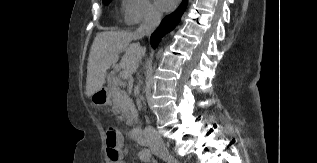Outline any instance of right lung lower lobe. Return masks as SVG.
<instances>
[{
	"instance_id": "1",
	"label": "right lung lower lobe",
	"mask_w": 317,
	"mask_h": 163,
	"mask_svg": "<svg viewBox=\"0 0 317 163\" xmlns=\"http://www.w3.org/2000/svg\"><path fill=\"white\" fill-rule=\"evenodd\" d=\"M187 0H184L179 8L170 15H167L161 22L159 28L151 36V45L153 48L157 45L158 41L167 32L174 29V27L179 23L183 12L186 9Z\"/></svg>"
}]
</instances>
